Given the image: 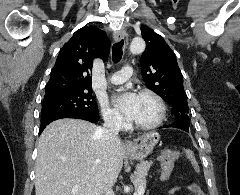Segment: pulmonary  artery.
<instances>
[{
  "label": "pulmonary artery",
  "mask_w": 240,
  "mask_h": 195,
  "mask_svg": "<svg viewBox=\"0 0 240 195\" xmlns=\"http://www.w3.org/2000/svg\"><path fill=\"white\" fill-rule=\"evenodd\" d=\"M122 71H117L111 78V82L115 84H119L124 82L125 80H130V76L133 75V72L130 71L131 67L129 65L122 66Z\"/></svg>",
  "instance_id": "1"
}]
</instances>
